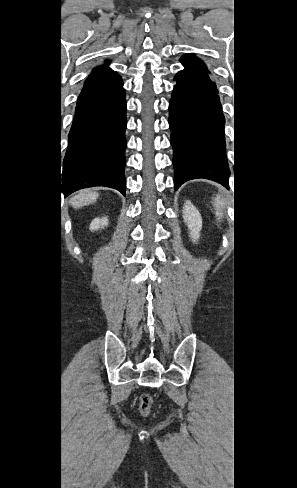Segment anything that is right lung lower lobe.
Returning a JSON list of instances; mask_svg holds the SVG:
<instances>
[{
	"mask_svg": "<svg viewBox=\"0 0 297 488\" xmlns=\"http://www.w3.org/2000/svg\"><path fill=\"white\" fill-rule=\"evenodd\" d=\"M118 75L78 99L64 158L62 193L107 186L125 195L126 100Z\"/></svg>",
	"mask_w": 297,
	"mask_h": 488,
	"instance_id": "98d812e1",
	"label": "right lung lower lobe"
}]
</instances>
